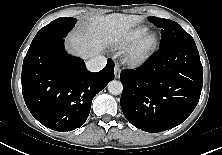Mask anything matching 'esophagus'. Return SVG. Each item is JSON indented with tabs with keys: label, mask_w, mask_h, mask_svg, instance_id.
Here are the masks:
<instances>
[{
	"label": "esophagus",
	"mask_w": 222,
	"mask_h": 155,
	"mask_svg": "<svg viewBox=\"0 0 222 155\" xmlns=\"http://www.w3.org/2000/svg\"><path fill=\"white\" fill-rule=\"evenodd\" d=\"M120 69H119V67L118 66H115V68H114V76H115V78H119L120 77Z\"/></svg>",
	"instance_id": "34e87169"
}]
</instances>
